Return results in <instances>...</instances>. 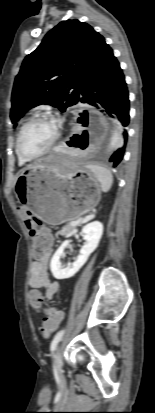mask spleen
I'll use <instances>...</instances> for the list:
<instances>
[{
	"mask_svg": "<svg viewBox=\"0 0 155 413\" xmlns=\"http://www.w3.org/2000/svg\"><path fill=\"white\" fill-rule=\"evenodd\" d=\"M86 168L95 174L100 182L102 191L108 192L113 182V177L110 170L98 165H86Z\"/></svg>",
	"mask_w": 155,
	"mask_h": 413,
	"instance_id": "1",
	"label": "spleen"
}]
</instances>
